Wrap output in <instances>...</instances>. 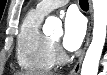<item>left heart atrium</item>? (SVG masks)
I'll return each mask as SVG.
<instances>
[{
  "label": "left heart atrium",
  "mask_w": 107,
  "mask_h": 75,
  "mask_svg": "<svg viewBox=\"0 0 107 75\" xmlns=\"http://www.w3.org/2000/svg\"><path fill=\"white\" fill-rule=\"evenodd\" d=\"M86 25L76 11H69L64 20L63 46L68 51L77 50L85 37Z\"/></svg>",
  "instance_id": "1"
}]
</instances>
